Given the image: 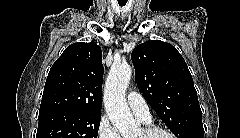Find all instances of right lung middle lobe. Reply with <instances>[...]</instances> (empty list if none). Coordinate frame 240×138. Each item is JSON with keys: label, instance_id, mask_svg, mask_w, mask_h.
Returning <instances> with one entry per match:
<instances>
[{"label": "right lung middle lobe", "instance_id": "dd1d6c3e", "mask_svg": "<svg viewBox=\"0 0 240 138\" xmlns=\"http://www.w3.org/2000/svg\"><path fill=\"white\" fill-rule=\"evenodd\" d=\"M101 113L55 111L39 115L36 138H97Z\"/></svg>", "mask_w": 240, "mask_h": 138}]
</instances>
